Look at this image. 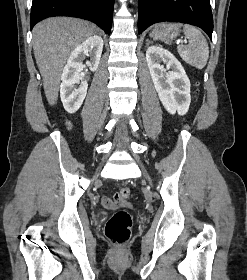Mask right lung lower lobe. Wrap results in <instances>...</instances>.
<instances>
[{
	"label": "right lung lower lobe",
	"instance_id": "98d812e1",
	"mask_svg": "<svg viewBox=\"0 0 247 280\" xmlns=\"http://www.w3.org/2000/svg\"><path fill=\"white\" fill-rule=\"evenodd\" d=\"M113 4L114 0H33L30 26L51 16H72L93 21L110 34Z\"/></svg>",
	"mask_w": 247,
	"mask_h": 280
}]
</instances>
